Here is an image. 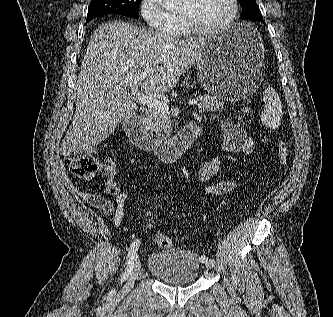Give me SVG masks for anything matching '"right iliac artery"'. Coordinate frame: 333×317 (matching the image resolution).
Returning a JSON list of instances; mask_svg holds the SVG:
<instances>
[{"label":"right iliac artery","instance_id":"82829eb1","mask_svg":"<svg viewBox=\"0 0 333 317\" xmlns=\"http://www.w3.org/2000/svg\"><path fill=\"white\" fill-rule=\"evenodd\" d=\"M139 244H140V241L139 240H135L133 241V243L131 244L130 246V249H129V252H128V262H127V267L120 279V283H123L127 278L128 276L130 275L131 271H132V268H133V265H134V260H135V256H136V253H137V250L139 248Z\"/></svg>","mask_w":333,"mask_h":317}]
</instances>
